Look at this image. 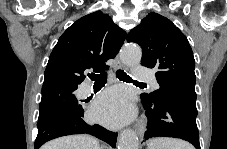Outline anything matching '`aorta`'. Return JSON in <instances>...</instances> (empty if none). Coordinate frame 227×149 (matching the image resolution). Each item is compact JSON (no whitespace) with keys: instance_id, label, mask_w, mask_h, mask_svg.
<instances>
[{"instance_id":"762f6f07","label":"aorta","mask_w":227,"mask_h":149,"mask_svg":"<svg viewBox=\"0 0 227 149\" xmlns=\"http://www.w3.org/2000/svg\"><path fill=\"white\" fill-rule=\"evenodd\" d=\"M142 53L135 45L125 46L120 53V58L126 65H137L141 62ZM118 149H139L138 137L132 129H125L119 137Z\"/></svg>"}]
</instances>
